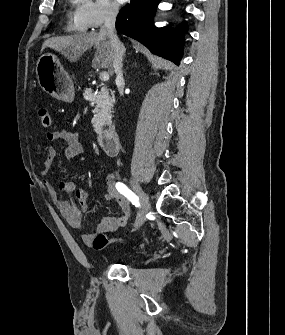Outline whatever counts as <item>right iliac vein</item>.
<instances>
[{
  "label": "right iliac vein",
  "instance_id": "right-iliac-vein-1",
  "mask_svg": "<svg viewBox=\"0 0 285 335\" xmlns=\"http://www.w3.org/2000/svg\"><path fill=\"white\" fill-rule=\"evenodd\" d=\"M130 184L134 191L138 194L140 197L141 203H142V212L138 215L136 226L140 227L145 222V214L148 213L151 209L149 198L146 195V193L142 190L140 184L134 180L130 179Z\"/></svg>",
  "mask_w": 285,
  "mask_h": 335
}]
</instances>
